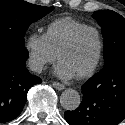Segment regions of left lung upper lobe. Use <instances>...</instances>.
<instances>
[{
  "mask_svg": "<svg viewBox=\"0 0 125 125\" xmlns=\"http://www.w3.org/2000/svg\"><path fill=\"white\" fill-rule=\"evenodd\" d=\"M93 18L101 26L104 37V65L125 57V19L111 10L97 11Z\"/></svg>",
  "mask_w": 125,
  "mask_h": 125,
  "instance_id": "left-lung-upper-lobe-1",
  "label": "left lung upper lobe"
}]
</instances>
